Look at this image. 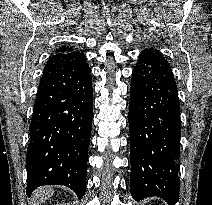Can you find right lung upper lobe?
Segmentation results:
<instances>
[{
	"label": "right lung upper lobe",
	"instance_id": "right-lung-upper-lobe-1",
	"mask_svg": "<svg viewBox=\"0 0 212 205\" xmlns=\"http://www.w3.org/2000/svg\"><path fill=\"white\" fill-rule=\"evenodd\" d=\"M72 51H76V50H74L72 47L61 46L58 49H56L55 54L67 53V52H72Z\"/></svg>",
	"mask_w": 212,
	"mask_h": 205
}]
</instances>
